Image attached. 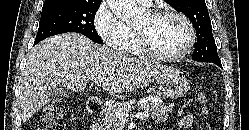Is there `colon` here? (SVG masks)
Masks as SVG:
<instances>
[{
  "mask_svg": "<svg viewBox=\"0 0 249 130\" xmlns=\"http://www.w3.org/2000/svg\"><path fill=\"white\" fill-rule=\"evenodd\" d=\"M198 97L206 113L207 98L204 93H199ZM64 106V101L61 98L54 99L47 105L43 110L38 130H62Z\"/></svg>",
  "mask_w": 249,
  "mask_h": 130,
  "instance_id": "1",
  "label": "colon"
}]
</instances>
